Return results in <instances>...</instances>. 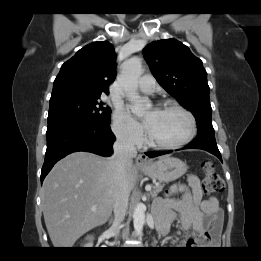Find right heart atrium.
<instances>
[{
	"label": "right heart atrium",
	"instance_id": "d8ad5b80",
	"mask_svg": "<svg viewBox=\"0 0 261 261\" xmlns=\"http://www.w3.org/2000/svg\"><path fill=\"white\" fill-rule=\"evenodd\" d=\"M112 129L116 137L129 146L139 145L144 138L140 126L121 106L116 107L113 112Z\"/></svg>",
	"mask_w": 261,
	"mask_h": 261
}]
</instances>
